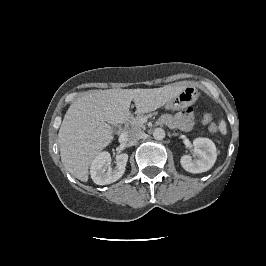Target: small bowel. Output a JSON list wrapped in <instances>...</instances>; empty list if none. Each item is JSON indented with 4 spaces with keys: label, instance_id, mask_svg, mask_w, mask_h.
<instances>
[{
    "label": "small bowel",
    "instance_id": "c3829d8e",
    "mask_svg": "<svg viewBox=\"0 0 266 266\" xmlns=\"http://www.w3.org/2000/svg\"><path fill=\"white\" fill-rule=\"evenodd\" d=\"M161 120L169 127L179 128L182 130L191 129L194 123L193 112L191 109H186L175 115L166 114Z\"/></svg>",
    "mask_w": 266,
    "mask_h": 266
}]
</instances>
